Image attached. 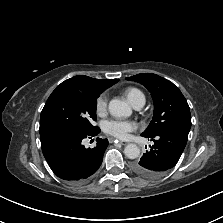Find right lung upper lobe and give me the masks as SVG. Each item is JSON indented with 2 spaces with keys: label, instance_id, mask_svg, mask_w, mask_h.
I'll return each mask as SVG.
<instances>
[{
  "label": "right lung upper lobe",
  "instance_id": "1",
  "mask_svg": "<svg viewBox=\"0 0 223 223\" xmlns=\"http://www.w3.org/2000/svg\"><path fill=\"white\" fill-rule=\"evenodd\" d=\"M119 79H95L84 75H78L65 80L57 87H78L89 90L100 91L101 93L117 83Z\"/></svg>",
  "mask_w": 223,
  "mask_h": 223
}]
</instances>
